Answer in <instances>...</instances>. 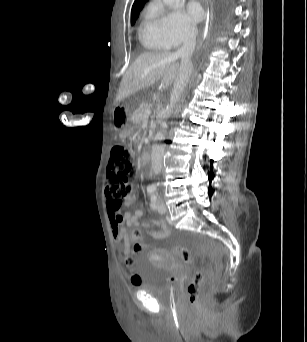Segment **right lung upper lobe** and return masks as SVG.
I'll use <instances>...</instances> for the list:
<instances>
[{
    "instance_id": "1",
    "label": "right lung upper lobe",
    "mask_w": 307,
    "mask_h": 342,
    "mask_svg": "<svg viewBox=\"0 0 307 342\" xmlns=\"http://www.w3.org/2000/svg\"><path fill=\"white\" fill-rule=\"evenodd\" d=\"M147 0H135L133 6H132V16H131V23L134 24L140 10L143 8V5L145 4Z\"/></svg>"
}]
</instances>
